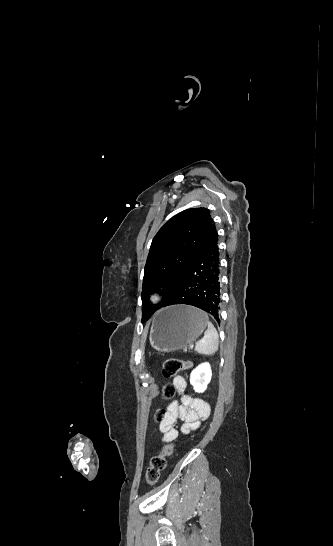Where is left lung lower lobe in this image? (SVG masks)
I'll return each mask as SVG.
<instances>
[{
    "label": "left lung lower lobe",
    "mask_w": 333,
    "mask_h": 546,
    "mask_svg": "<svg viewBox=\"0 0 333 546\" xmlns=\"http://www.w3.org/2000/svg\"><path fill=\"white\" fill-rule=\"evenodd\" d=\"M218 234L213 223L202 240L196 257L177 280L163 306L187 304L211 314L217 322L220 310V262ZM203 263L199 273L197 268Z\"/></svg>",
    "instance_id": "obj_1"
}]
</instances>
